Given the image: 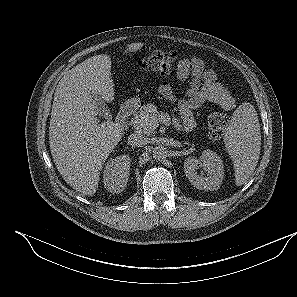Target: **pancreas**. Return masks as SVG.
I'll list each match as a JSON object with an SVG mask.
<instances>
[{
    "mask_svg": "<svg viewBox=\"0 0 297 297\" xmlns=\"http://www.w3.org/2000/svg\"><path fill=\"white\" fill-rule=\"evenodd\" d=\"M161 114L158 113L157 107L153 104L143 105L140 110L132 118V125L136 131L151 135L154 133L158 120ZM172 124L179 127V120L175 117L172 119Z\"/></svg>",
    "mask_w": 297,
    "mask_h": 297,
    "instance_id": "cf45deb5",
    "label": "pancreas"
}]
</instances>
